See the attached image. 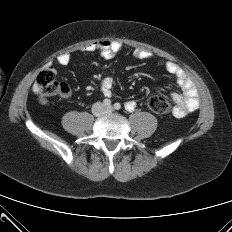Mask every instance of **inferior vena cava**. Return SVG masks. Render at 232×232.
I'll return each instance as SVG.
<instances>
[{"label": "inferior vena cava", "instance_id": "inferior-vena-cava-1", "mask_svg": "<svg viewBox=\"0 0 232 232\" xmlns=\"http://www.w3.org/2000/svg\"><path fill=\"white\" fill-rule=\"evenodd\" d=\"M97 105H100V103H96V104L93 106V108H92V109H93V112H95V111H94V108L97 107ZM95 114H96V112H95Z\"/></svg>", "mask_w": 232, "mask_h": 232}]
</instances>
